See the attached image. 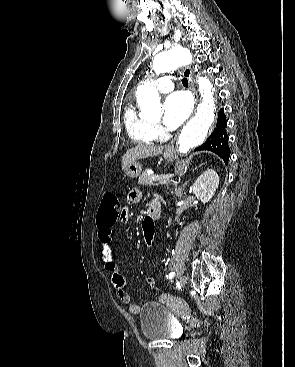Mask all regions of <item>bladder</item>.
I'll return each instance as SVG.
<instances>
[{"label": "bladder", "instance_id": "1", "mask_svg": "<svg viewBox=\"0 0 295 367\" xmlns=\"http://www.w3.org/2000/svg\"><path fill=\"white\" fill-rule=\"evenodd\" d=\"M139 318L142 334L148 340H175L181 336V324L158 302L145 303L141 307Z\"/></svg>", "mask_w": 295, "mask_h": 367}]
</instances>
